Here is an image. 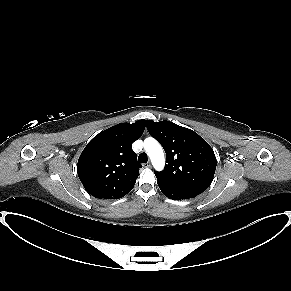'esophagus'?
<instances>
[{
  "mask_svg": "<svg viewBox=\"0 0 291 291\" xmlns=\"http://www.w3.org/2000/svg\"><path fill=\"white\" fill-rule=\"evenodd\" d=\"M143 167H145V168H150V167H151L150 162H147V163L143 164Z\"/></svg>",
  "mask_w": 291,
  "mask_h": 291,
  "instance_id": "esophagus-1",
  "label": "esophagus"
}]
</instances>
